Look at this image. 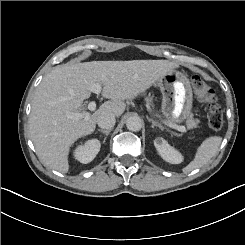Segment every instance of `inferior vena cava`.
I'll use <instances>...</instances> for the list:
<instances>
[{"label": "inferior vena cava", "mask_w": 245, "mask_h": 245, "mask_svg": "<svg viewBox=\"0 0 245 245\" xmlns=\"http://www.w3.org/2000/svg\"><path fill=\"white\" fill-rule=\"evenodd\" d=\"M97 124L103 129H110L115 124V115L111 112H102L97 118Z\"/></svg>", "instance_id": "602c4592"}]
</instances>
